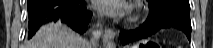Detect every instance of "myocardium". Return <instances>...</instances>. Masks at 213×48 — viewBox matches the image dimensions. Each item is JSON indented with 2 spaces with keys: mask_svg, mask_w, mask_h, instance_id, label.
<instances>
[{
  "mask_svg": "<svg viewBox=\"0 0 213 48\" xmlns=\"http://www.w3.org/2000/svg\"><path fill=\"white\" fill-rule=\"evenodd\" d=\"M139 17H140V11L136 9L133 11L132 15L130 16L129 21L136 22L138 21Z\"/></svg>",
  "mask_w": 213,
  "mask_h": 48,
  "instance_id": "1",
  "label": "myocardium"
}]
</instances>
